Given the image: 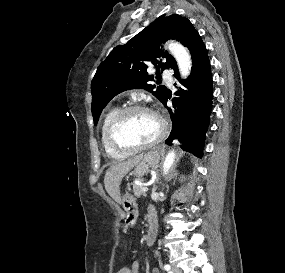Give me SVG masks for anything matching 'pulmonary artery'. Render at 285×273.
Masks as SVG:
<instances>
[{
    "mask_svg": "<svg viewBox=\"0 0 285 273\" xmlns=\"http://www.w3.org/2000/svg\"><path fill=\"white\" fill-rule=\"evenodd\" d=\"M162 76L163 78L168 81L169 83L172 82V77H173V72L171 69H164L163 72H162Z\"/></svg>",
    "mask_w": 285,
    "mask_h": 273,
    "instance_id": "obj_1",
    "label": "pulmonary artery"
}]
</instances>
